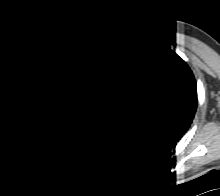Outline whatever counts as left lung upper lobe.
Masks as SVG:
<instances>
[{"mask_svg": "<svg viewBox=\"0 0 220 196\" xmlns=\"http://www.w3.org/2000/svg\"><path fill=\"white\" fill-rule=\"evenodd\" d=\"M134 55L146 88L143 133L169 148L187 131L194 117V77L173 51L140 44L134 48Z\"/></svg>", "mask_w": 220, "mask_h": 196, "instance_id": "left-lung-upper-lobe-1", "label": "left lung upper lobe"}]
</instances>
